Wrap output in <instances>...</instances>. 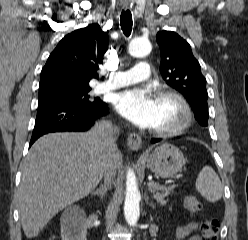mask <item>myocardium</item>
Masks as SVG:
<instances>
[{
	"label": "myocardium",
	"mask_w": 248,
	"mask_h": 240,
	"mask_svg": "<svg viewBox=\"0 0 248 240\" xmlns=\"http://www.w3.org/2000/svg\"><path fill=\"white\" fill-rule=\"evenodd\" d=\"M158 98H171L176 101L181 109V118L170 127L162 129H153L152 132L158 136L171 137L184 132L193 120V112L187 99L178 91L173 89H162L157 94Z\"/></svg>",
	"instance_id": "1"
}]
</instances>
